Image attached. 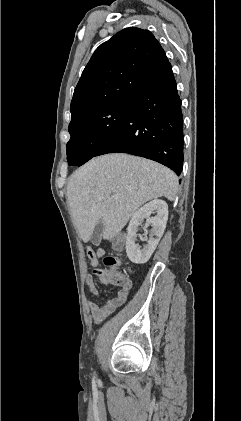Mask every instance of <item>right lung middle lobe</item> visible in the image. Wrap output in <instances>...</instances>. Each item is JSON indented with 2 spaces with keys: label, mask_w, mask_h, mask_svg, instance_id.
I'll list each match as a JSON object with an SVG mask.
<instances>
[{
  "label": "right lung middle lobe",
  "mask_w": 241,
  "mask_h": 421,
  "mask_svg": "<svg viewBox=\"0 0 241 421\" xmlns=\"http://www.w3.org/2000/svg\"><path fill=\"white\" fill-rule=\"evenodd\" d=\"M128 100L119 101L90 112L69 124L67 143L69 165L81 166L102 148L123 123Z\"/></svg>",
  "instance_id": "right-lung-middle-lobe-1"
}]
</instances>
